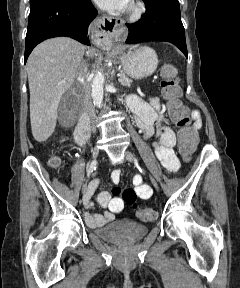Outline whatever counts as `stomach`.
<instances>
[{"mask_svg": "<svg viewBox=\"0 0 240 288\" xmlns=\"http://www.w3.org/2000/svg\"><path fill=\"white\" fill-rule=\"evenodd\" d=\"M120 62L128 76L134 79H143L155 72L158 66V57L152 48L144 46L123 54L120 56Z\"/></svg>", "mask_w": 240, "mask_h": 288, "instance_id": "0dacf381", "label": "stomach"}]
</instances>
